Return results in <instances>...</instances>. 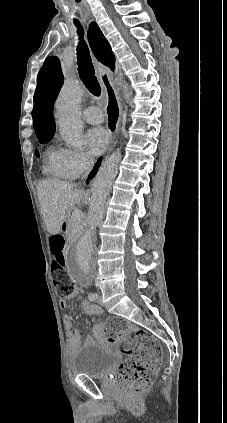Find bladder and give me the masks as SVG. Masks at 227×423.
<instances>
[{
  "label": "bladder",
  "instance_id": "1",
  "mask_svg": "<svg viewBox=\"0 0 227 423\" xmlns=\"http://www.w3.org/2000/svg\"><path fill=\"white\" fill-rule=\"evenodd\" d=\"M119 362L116 353L104 350L97 343H89L83 345L73 357L72 371L94 380H103L109 378Z\"/></svg>",
  "mask_w": 227,
  "mask_h": 423
}]
</instances>
